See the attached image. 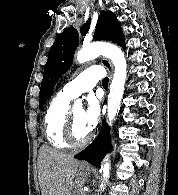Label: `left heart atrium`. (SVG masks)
<instances>
[{
	"label": "left heart atrium",
	"mask_w": 178,
	"mask_h": 195,
	"mask_svg": "<svg viewBox=\"0 0 178 195\" xmlns=\"http://www.w3.org/2000/svg\"><path fill=\"white\" fill-rule=\"evenodd\" d=\"M99 119V107L94 99L88 101L87 109L83 112V123L88 132H91Z\"/></svg>",
	"instance_id": "obj_1"
}]
</instances>
